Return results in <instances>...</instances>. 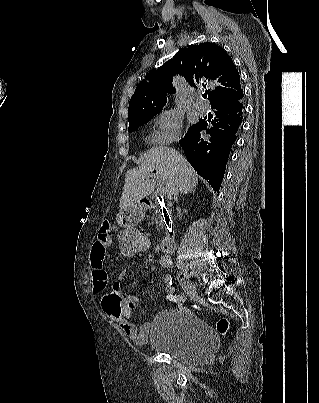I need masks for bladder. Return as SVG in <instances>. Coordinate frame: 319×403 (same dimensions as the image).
Instances as JSON below:
<instances>
[{"label": "bladder", "mask_w": 319, "mask_h": 403, "mask_svg": "<svg viewBox=\"0 0 319 403\" xmlns=\"http://www.w3.org/2000/svg\"><path fill=\"white\" fill-rule=\"evenodd\" d=\"M150 325L148 346L187 365L207 362L217 347L208 324L181 310H162Z\"/></svg>", "instance_id": "bladder-1"}]
</instances>
